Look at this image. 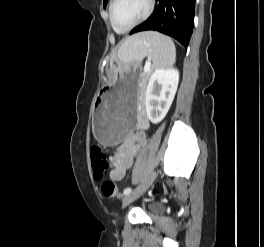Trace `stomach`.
<instances>
[{
  "mask_svg": "<svg viewBox=\"0 0 264 247\" xmlns=\"http://www.w3.org/2000/svg\"><path fill=\"white\" fill-rule=\"evenodd\" d=\"M117 82L114 86H100L94 106L93 126L96 139L104 147H115L120 141H127L130 131H135L137 108H134L139 75L137 67L124 70L121 63H115ZM132 76H125V75ZM128 81V82H126Z\"/></svg>",
  "mask_w": 264,
  "mask_h": 247,
  "instance_id": "1",
  "label": "stomach"
}]
</instances>
